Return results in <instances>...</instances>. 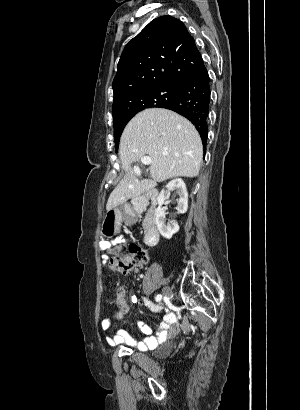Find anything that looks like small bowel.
<instances>
[{
    "instance_id": "1",
    "label": "small bowel",
    "mask_w": 300,
    "mask_h": 410,
    "mask_svg": "<svg viewBox=\"0 0 300 410\" xmlns=\"http://www.w3.org/2000/svg\"><path fill=\"white\" fill-rule=\"evenodd\" d=\"M133 302H137L136 297H132ZM153 312L163 315V321L160 324L158 331L153 335L152 329L144 322L139 323V328L145 336L142 340H136L132 337L127 329H119L114 334L108 335L106 341L110 346H118L127 344L136 347L142 351L155 348L159 343L175 336L179 332V325L176 323L175 315L166 307L154 305L151 302H145ZM129 310L126 300V291L123 286H120L116 292L115 308L112 311V317L103 318L100 321L102 330L107 331L111 327L113 319H120Z\"/></svg>"
}]
</instances>
